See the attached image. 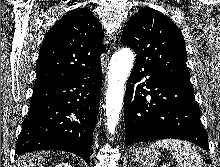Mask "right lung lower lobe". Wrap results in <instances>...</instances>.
I'll use <instances>...</instances> for the list:
<instances>
[{
    "label": "right lung lower lobe",
    "mask_w": 220,
    "mask_h": 167,
    "mask_svg": "<svg viewBox=\"0 0 220 167\" xmlns=\"http://www.w3.org/2000/svg\"><path fill=\"white\" fill-rule=\"evenodd\" d=\"M102 85L101 65L70 79L33 89L16 155L60 150L90 164V148Z\"/></svg>",
    "instance_id": "right-lung-lower-lobe-1"
}]
</instances>
